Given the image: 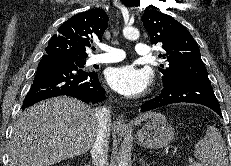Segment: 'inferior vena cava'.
Listing matches in <instances>:
<instances>
[{
  "instance_id": "1",
  "label": "inferior vena cava",
  "mask_w": 231,
  "mask_h": 166,
  "mask_svg": "<svg viewBox=\"0 0 231 166\" xmlns=\"http://www.w3.org/2000/svg\"><path fill=\"white\" fill-rule=\"evenodd\" d=\"M95 116L99 123L98 134L91 149V157L94 166H105L108 157L109 136H110V109L101 106L95 109Z\"/></svg>"
}]
</instances>
